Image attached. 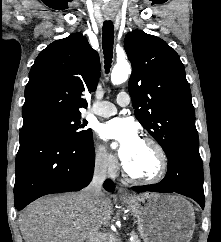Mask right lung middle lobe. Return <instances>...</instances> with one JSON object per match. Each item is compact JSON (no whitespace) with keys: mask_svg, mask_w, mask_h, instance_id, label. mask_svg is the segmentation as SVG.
Returning <instances> with one entry per match:
<instances>
[{"mask_svg":"<svg viewBox=\"0 0 221 242\" xmlns=\"http://www.w3.org/2000/svg\"><path fill=\"white\" fill-rule=\"evenodd\" d=\"M80 118L81 114H76L68 117L41 120L22 126L21 132L49 131L63 135L68 139L82 140L92 135V131L90 129L81 130L84 125H81Z\"/></svg>","mask_w":221,"mask_h":242,"instance_id":"obj_1","label":"right lung middle lobe"}]
</instances>
